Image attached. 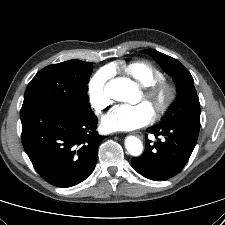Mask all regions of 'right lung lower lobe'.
<instances>
[{
  "label": "right lung lower lobe",
  "mask_w": 225,
  "mask_h": 225,
  "mask_svg": "<svg viewBox=\"0 0 225 225\" xmlns=\"http://www.w3.org/2000/svg\"><path fill=\"white\" fill-rule=\"evenodd\" d=\"M22 143L38 174L52 185L71 187L84 181L96 166L104 136L97 117L79 116L47 104L22 106Z\"/></svg>",
  "instance_id": "right-lung-lower-lobe-1"
}]
</instances>
